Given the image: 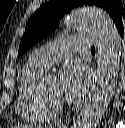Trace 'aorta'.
I'll return each mask as SVG.
<instances>
[{"label": "aorta", "mask_w": 125, "mask_h": 128, "mask_svg": "<svg viewBox=\"0 0 125 128\" xmlns=\"http://www.w3.org/2000/svg\"><path fill=\"white\" fill-rule=\"evenodd\" d=\"M65 24L72 29L90 32L96 40L97 77L74 123V128H96L114 93L120 65V36L111 18L96 7L88 6L72 11L65 19Z\"/></svg>", "instance_id": "aorta-1"}]
</instances>
